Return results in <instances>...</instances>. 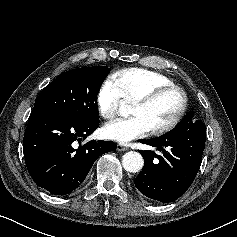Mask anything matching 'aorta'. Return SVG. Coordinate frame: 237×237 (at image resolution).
<instances>
[{
  "mask_svg": "<svg viewBox=\"0 0 237 237\" xmlns=\"http://www.w3.org/2000/svg\"><path fill=\"white\" fill-rule=\"evenodd\" d=\"M120 112L124 113L125 109L121 107ZM122 165L126 171L136 173L142 169L144 160L138 152L130 151L123 155Z\"/></svg>",
  "mask_w": 237,
  "mask_h": 237,
  "instance_id": "1",
  "label": "aorta"
}]
</instances>
